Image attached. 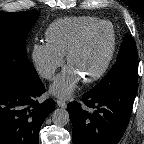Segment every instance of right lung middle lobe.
<instances>
[{"mask_svg": "<svg viewBox=\"0 0 144 144\" xmlns=\"http://www.w3.org/2000/svg\"><path fill=\"white\" fill-rule=\"evenodd\" d=\"M39 17L37 10L0 12V80L13 79L24 84L39 80L26 54L25 41Z\"/></svg>", "mask_w": 144, "mask_h": 144, "instance_id": "1", "label": "right lung middle lobe"}]
</instances>
